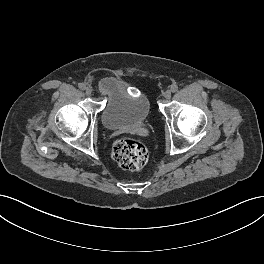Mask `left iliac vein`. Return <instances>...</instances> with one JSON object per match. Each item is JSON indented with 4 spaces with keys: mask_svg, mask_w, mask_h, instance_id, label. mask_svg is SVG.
<instances>
[{
    "mask_svg": "<svg viewBox=\"0 0 264 264\" xmlns=\"http://www.w3.org/2000/svg\"><path fill=\"white\" fill-rule=\"evenodd\" d=\"M164 98L167 99V100L171 98V91H170V90H167V91L164 93Z\"/></svg>",
    "mask_w": 264,
    "mask_h": 264,
    "instance_id": "1",
    "label": "left iliac vein"
}]
</instances>
